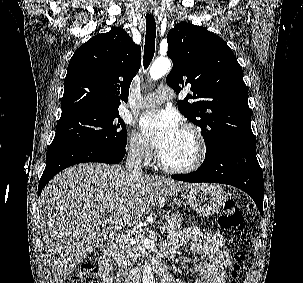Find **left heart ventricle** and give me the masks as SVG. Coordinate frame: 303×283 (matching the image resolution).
<instances>
[{"label":"left heart ventricle","instance_id":"left-heart-ventricle-1","mask_svg":"<svg viewBox=\"0 0 303 283\" xmlns=\"http://www.w3.org/2000/svg\"><path fill=\"white\" fill-rule=\"evenodd\" d=\"M165 161L172 165H186L196 154V144L192 136L180 130L167 149L161 152Z\"/></svg>","mask_w":303,"mask_h":283}]
</instances>
